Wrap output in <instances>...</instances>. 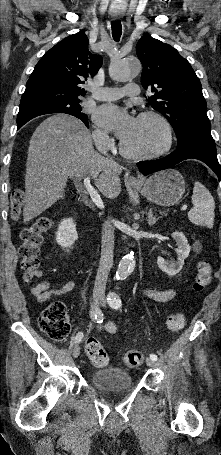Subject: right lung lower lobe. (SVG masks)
Wrapping results in <instances>:
<instances>
[{
    "label": "right lung lower lobe",
    "mask_w": 221,
    "mask_h": 455,
    "mask_svg": "<svg viewBox=\"0 0 221 455\" xmlns=\"http://www.w3.org/2000/svg\"><path fill=\"white\" fill-rule=\"evenodd\" d=\"M30 119H32V118H30ZM30 119H26V120L22 121L21 123H19V124L17 125V129L21 128V127H22L25 123H27Z\"/></svg>",
    "instance_id": "right-lung-lower-lobe-1"
}]
</instances>
